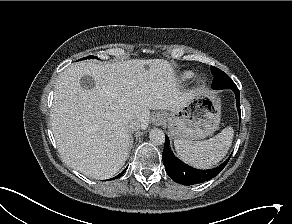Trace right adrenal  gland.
I'll list each match as a JSON object with an SVG mask.
<instances>
[{"mask_svg": "<svg viewBox=\"0 0 292 224\" xmlns=\"http://www.w3.org/2000/svg\"><path fill=\"white\" fill-rule=\"evenodd\" d=\"M132 145H133V136H132V133H130V145H129L128 154H129L130 151H131Z\"/></svg>", "mask_w": 292, "mask_h": 224, "instance_id": "right-adrenal-gland-1", "label": "right adrenal gland"}]
</instances>
